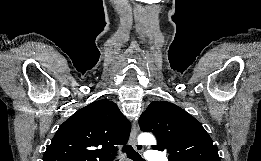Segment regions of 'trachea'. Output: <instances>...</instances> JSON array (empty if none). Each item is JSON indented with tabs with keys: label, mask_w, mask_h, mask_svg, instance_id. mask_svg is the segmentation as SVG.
I'll return each instance as SVG.
<instances>
[{
	"label": "trachea",
	"mask_w": 261,
	"mask_h": 161,
	"mask_svg": "<svg viewBox=\"0 0 261 161\" xmlns=\"http://www.w3.org/2000/svg\"><path fill=\"white\" fill-rule=\"evenodd\" d=\"M127 156L132 159L133 161H145L138 152H136L133 147L129 144L125 145L122 149Z\"/></svg>",
	"instance_id": "3493384b"
}]
</instances>
